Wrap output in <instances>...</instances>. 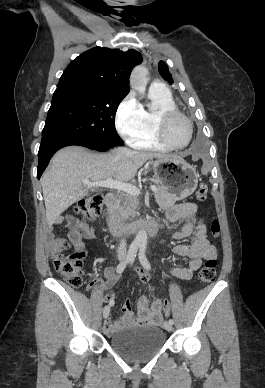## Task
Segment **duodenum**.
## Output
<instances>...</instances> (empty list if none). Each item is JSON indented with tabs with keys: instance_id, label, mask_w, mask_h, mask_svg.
Returning <instances> with one entry per match:
<instances>
[{
	"instance_id": "obj_1",
	"label": "duodenum",
	"mask_w": 265,
	"mask_h": 388,
	"mask_svg": "<svg viewBox=\"0 0 265 388\" xmlns=\"http://www.w3.org/2000/svg\"><path fill=\"white\" fill-rule=\"evenodd\" d=\"M117 196L115 193H108L105 196L106 222L109 231L115 236L124 234H136L145 232L148 235H156L159 231V223L155 219L138 220L131 223L123 222L115 211Z\"/></svg>"
}]
</instances>
